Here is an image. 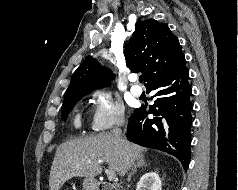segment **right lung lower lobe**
I'll return each instance as SVG.
<instances>
[{"label": "right lung lower lobe", "instance_id": "right-lung-lower-lobe-1", "mask_svg": "<svg viewBox=\"0 0 238 190\" xmlns=\"http://www.w3.org/2000/svg\"><path fill=\"white\" fill-rule=\"evenodd\" d=\"M188 79L184 58L174 70L151 82L146 89L156 91L155 103L149 111L143 106L134 110L126 135L133 143L174 155L186 171L190 163L193 109ZM148 113L155 117L147 119Z\"/></svg>", "mask_w": 238, "mask_h": 190}]
</instances>
